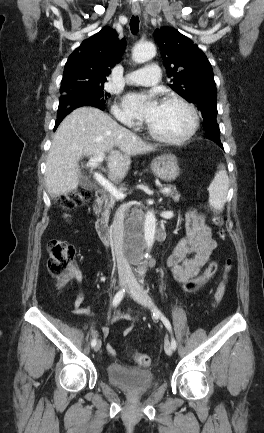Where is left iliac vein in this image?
Here are the masks:
<instances>
[{
    "label": "left iliac vein",
    "mask_w": 264,
    "mask_h": 433,
    "mask_svg": "<svg viewBox=\"0 0 264 433\" xmlns=\"http://www.w3.org/2000/svg\"><path fill=\"white\" fill-rule=\"evenodd\" d=\"M129 293L139 304L151 308L149 297L143 293L139 284L134 279L129 281ZM164 349L167 355H172L173 349L168 339L165 340Z\"/></svg>",
    "instance_id": "1"
}]
</instances>
